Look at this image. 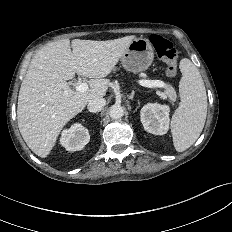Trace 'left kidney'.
Masks as SVG:
<instances>
[{
  "label": "left kidney",
  "instance_id": "5707ae66",
  "mask_svg": "<svg viewBox=\"0 0 232 232\" xmlns=\"http://www.w3.org/2000/svg\"><path fill=\"white\" fill-rule=\"evenodd\" d=\"M169 112L167 105L149 103L140 112L144 129L155 135H164L169 129Z\"/></svg>",
  "mask_w": 232,
  "mask_h": 232
}]
</instances>
